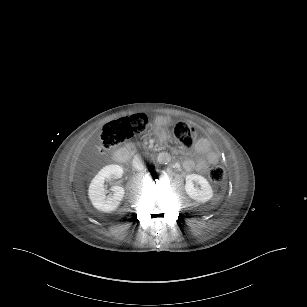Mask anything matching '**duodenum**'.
<instances>
[{
  "label": "duodenum",
  "mask_w": 307,
  "mask_h": 307,
  "mask_svg": "<svg viewBox=\"0 0 307 307\" xmlns=\"http://www.w3.org/2000/svg\"><path fill=\"white\" fill-rule=\"evenodd\" d=\"M112 157L115 162L123 164L128 160V152L125 148H119L113 152Z\"/></svg>",
  "instance_id": "duodenum-1"
}]
</instances>
